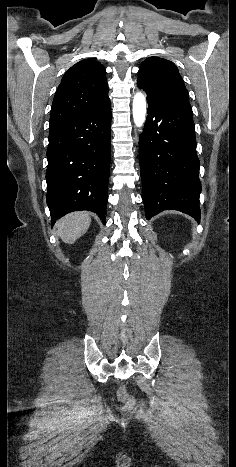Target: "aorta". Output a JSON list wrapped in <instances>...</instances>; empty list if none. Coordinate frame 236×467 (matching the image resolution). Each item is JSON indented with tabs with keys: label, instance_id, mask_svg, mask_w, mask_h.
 <instances>
[{
	"label": "aorta",
	"instance_id": "aorta-1",
	"mask_svg": "<svg viewBox=\"0 0 236 467\" xmlns=\"http://www.w3.org/2000/svg\"><path fill=\"white\" fill-rule=\"evenodd\" d=\"M133 120L137 127H142L146 120V98L137 92L133 98Z\"/></svg>",
	"mask_w": 236,
	"mask_h": 467
}]
</instances>
